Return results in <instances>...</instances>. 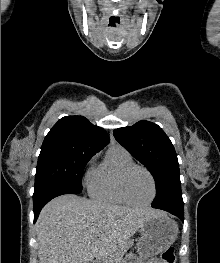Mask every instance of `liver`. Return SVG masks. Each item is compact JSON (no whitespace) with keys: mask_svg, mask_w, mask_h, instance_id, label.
<instances>
[{"mask_svg":"<svg viewBox=\"0 0 220 263\" xmlns=\"http://www.w3.org/2000/svg\"><path fill=\"white\" fill-rule=\"evenodd\" d=\"M161 213L72 194L54 198L36 222L39 263H119L129 239Z\"/></svg>","mask_w":220,"mask_h":263,"instance_id":"obj_1","label":"liver"}]
</instances>
